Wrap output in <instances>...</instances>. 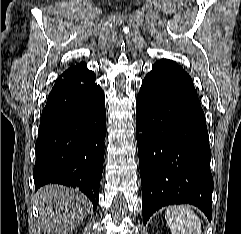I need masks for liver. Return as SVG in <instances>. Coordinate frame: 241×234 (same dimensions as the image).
Returning <instances> with one entry per match:
<instances>
[{"instance_id":"1","label":"liver","mask_w":241,"mask_h":234,"mask_svg":"<svg viewBox=\"0 0 241 234\" xmlns=\"http://www.w3.org/2000/svg\"><path fill=\"white\" fill-rule=\"evenodd\" d=\"M39 229L46 234H69L88 215L91 204L77 189L49 184L36 193Z\"/></svg>"}]
</instances>
